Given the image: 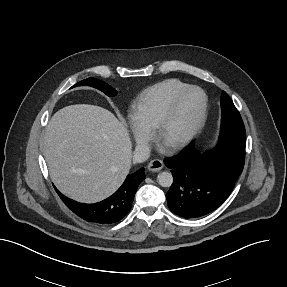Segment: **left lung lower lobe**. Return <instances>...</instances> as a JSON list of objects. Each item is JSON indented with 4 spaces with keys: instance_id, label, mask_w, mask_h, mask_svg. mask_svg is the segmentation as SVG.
Returning <instances> with one entry per match:
<instances>
[{
    "instance_id": "1",
    "label": "left lung lower lobe",
    "mask_w": 287,
    "mask_h": 287,
    "mask_svg": "<svg viewBox=\"0 0 287 287\" xmlns=\"http://www.w3.org/2000/svg\"><path fill=\"white\" fill-rule=\"evenodd\" d=\"M245 133L220 134L217 146L200 154L193 143L166 158L173 184L166 193L170 210L186 219L218 208L230 195L245 163Z\"/></svg>"
}]
</instances>
